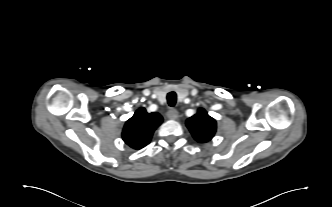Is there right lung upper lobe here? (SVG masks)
<instances>
[{
    "label": "right lung upper lobe",
    "mask_w": 332,
    "mask_h": 207,
    "mask_svg": "<svg viewBox=\"0 0 332 207\" xmlns=\"http://www.w3.org/2000/svg\"><path fill=\"white\" fill-rule=\"evenodd\" d=\"M163 118L158 113H147L139 108L134 115L126 121L122 131L124 142L133 149L146 146L154 130L162 123Z\"/></svg>",
    "instance_id": "cb5924a9"
}]
</instances>
